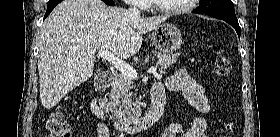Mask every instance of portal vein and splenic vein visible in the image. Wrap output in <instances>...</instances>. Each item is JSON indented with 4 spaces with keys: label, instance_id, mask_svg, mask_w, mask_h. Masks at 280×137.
Here are the masks:
<instances>
[{
    "label": "portal vein and splenic vein",
    "instance_id": "obj_1",
    "mask_svg": "<svg viewBox=\"0 0 280 137\" xmlns=\"http://www.w3.org/2000/svg\"><path fill=\"white\" fill-rule=\"evenodd\" d=\"M98 55L104 60L110 62L118 71L122 73V75L130 79H137L138 74L136 70L131 65L125 63L123 60L119 59L108 50L100 51ZM156 69V67H151L149 68L148 73L156 74Z\"/></svg>",
    "mask_w": 280,
    "mask_h": 137
}]
</instances>
